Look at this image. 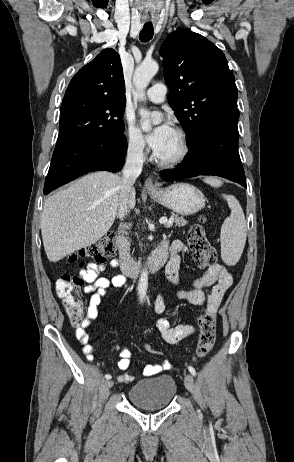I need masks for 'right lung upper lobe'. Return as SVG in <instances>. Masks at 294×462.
I'll list each match as a JSON object with an SVG mask.
<instances>
[{
  "instance_id": "right-lung-upper-lobe-1",
  "label": "right lung upper lobe",
  "mask_w": 294,
  "mask_h": 462,
  "mask_svg": "<svg viewBox=\"0 0 294 462\" xmlns=\"http://www.w3.org/2000/svg\"><path fill=\"white\" fill-rule=\"evenodd\" d=\"M75 98L126 99L121 60L115 50H102L74 75L63 101Z\"/></svg>"
}]
</instances>
